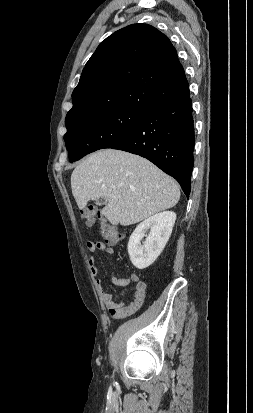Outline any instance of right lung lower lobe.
I'll list each match as a JSON object with an SVG mask.
<instances>
[{
  "label": "right lung lower lobe",
  "instance_id": "obj_1",
  "mask_svg": "<svg viewBox=\"0 0 253 413\" xmlns=\"http://www.w3.org/2000/svg\"><path fill=\"white\" fill-rule=\"evenodd\" d=\"M192 100L189 88L177 97L147 109L139 124L106 148L147 158L174 177L190 194L195 145Z\"/></svg>",
  "mask_w": 253,
  "mask_h": 413
}]
</instances>
